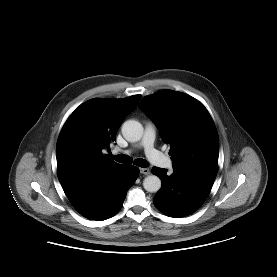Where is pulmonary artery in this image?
Instances as JSON below:
<instances>
[{
	"instance_id": "pulmonary-artery-1",
	"label": "pulmonary artery",
	"mask_w": 277,
	"mask_h": 277,
	"mask_svg": "<svg viewBox=\"0 0 277 277\" xmlns=\"http://www.w3.org/2000/svg\"><path fill=\"white\" fill-rule=\"evenodd\" d=\"M154 139V125L151 123H147L145 126L143 138L140 142V146L144 148L146 156L153 164L162 168L171 169L173 166L172 160L154 147Z\"/></svg>"
}]
</instances>
